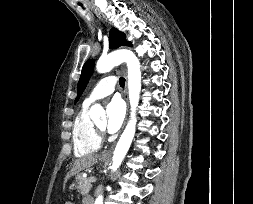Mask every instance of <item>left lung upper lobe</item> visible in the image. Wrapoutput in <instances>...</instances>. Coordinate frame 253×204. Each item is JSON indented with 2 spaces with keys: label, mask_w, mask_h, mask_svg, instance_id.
Returning a JSON list of instances; mask_svg holds the SVG:
<instances>
[{
  "label": "left lung upper lobe",
  "mask_w": 253,
  "mask_h": 204,
  "mask_svg": "<svg viewBox=\"0 0 253 204\" xmlns=\"http://www.w3.org/2000/svg\"><path fill=\"white\" fill-rule=\"evenodd\" d=\"M109 46L111 49L120 47V46H132V44L129 41H126V36L123 32H120L116 28H112L110 31V40H109ZM94 70V60H88L84 64L82 68V73L78 82L77 86V98L76 101H78L79 97L81 96L82 92L84 91L91 75Z\"/></svg>",
  "instance_id": "left-lung-upper-lobe-1"
}]
</instances>
